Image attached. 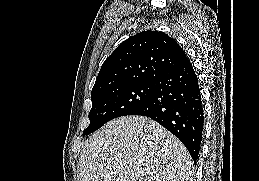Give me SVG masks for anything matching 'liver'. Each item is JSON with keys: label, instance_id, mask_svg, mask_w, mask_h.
I'll use <instances>...</instances> for the list:
<instances>
[{"label": "liver", "instance_id": "obj_1", "mask_svg": "<svg viewBox=\"0 0 259 181\" xmlns=\"http://www.w3.org/2000/svg\"><path fill=\"white\" fill-rule=\"evenodd\" d=\"M80 156V181H194L186 147L147 117L108 122L89 138Z\"/></svg>", "mask_w": 259, "mask_h": 181}]
</instances>
